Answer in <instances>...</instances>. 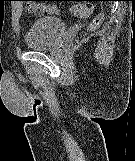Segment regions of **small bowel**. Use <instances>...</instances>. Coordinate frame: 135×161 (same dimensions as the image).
Masks as SVG:
<instances>
[{
    "label": "small bowel",
    "instance_id": "small-bowel-1",
    "mask_svg": "<svg viewBox=\"0 0 135 161\" xmlns=\"http://www.w3.org/2000/svg\"><path fill=\"white\" fill-rule=\"evenodd\" d=\"M48 11L52 12V13H56L57 9L55 7H49L47 8Z\"/></svg>",
    "mask_w": 135,
    "mask_h": 161
}]
</instances>
